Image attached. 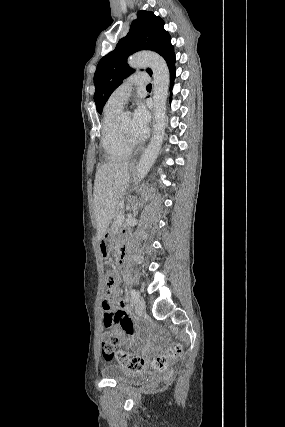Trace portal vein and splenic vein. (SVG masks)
I'll return each mask as SVG.
<instances>
[{"label": "portal vein and splenic vein", "instance_id": "1", "mask_svg": "<svg viewBox=\"0 0 285 427\" xmlns=\"http://www.w3.org/2000/svg\"><path fill=\"white\" fill-rule=\"evenodd\" d=\"M124 218H125V217H124V215L122 214V215L119 217V220H120V221H122V220H124Z\"/></svg>", "mask_w": 285, "mask_h": 427}]
</instances>
